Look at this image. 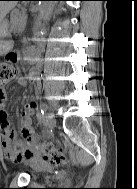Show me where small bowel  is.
<instances>
[{
    "label": "small bowel",
    "instance_id": "obj_1",
    "mask_svg": "<svg viewBox=\"0 0 137 189\" xmlns=\"http://www.w3.org/2000/svg\"><path fill=\"white\" fill-rule=\"evenodd\" d=\"M38 71V68H33L27 76L18 79L19 83L25 84L27 81H36ZM36 99V97H32L23 107L21 114L22 129L19 138L17 132L10 126L8 120L5 109L7 94L4 90H0V142L6 158L14 163L23 161L42 162L31 148L37 136L32 125L33 112L30 110V104H35Z\"/></svg>",
    "mask_w": 137,
    "mask_h": 189
}]
</instances>
